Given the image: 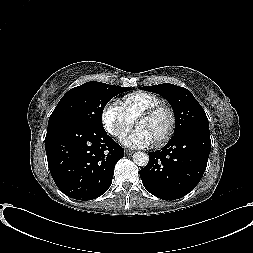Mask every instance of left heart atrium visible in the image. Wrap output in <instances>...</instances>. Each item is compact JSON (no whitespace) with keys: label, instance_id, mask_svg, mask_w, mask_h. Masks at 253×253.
Returning a JSON list of instances; mask_svg holds the SVG:
<instances>
[{"label":"left heart atrium","instance_id":"39dd6f15","mask_svg":"<svg viewBox=\"0 0 253 253\" xmlns=\"http://www.w3.org/2000/svg\"><path fill=\"white\" fill-rule=\"evenodd\" d=\"M123 144L130 148H145L156 143L152 135L142 128H137L123 139Z\"/></svg>","mask_w":253,"mask_h":253}]
</instances>
